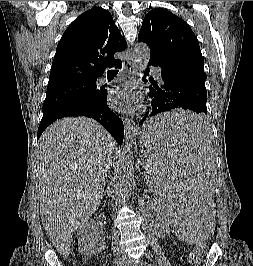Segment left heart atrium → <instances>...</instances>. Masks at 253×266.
Segmentation results:
<instances>
[{"mask_svg": "<svg viewBox=\"0 0 253 266\" xmlns=\"http://www.w3.org/2000/svg\"><path fill=\"white\" fill-rule=\"evenodd\" d=\"M109 102L116 110L132 113L139 108L141 100L131 84H124L111 90Z\"/></svg>", "mask_w": 253, "mask_h": 266, "instance_id": "39dd6f15", "label": "left heart atrium"}]
</instances>
